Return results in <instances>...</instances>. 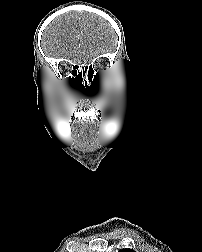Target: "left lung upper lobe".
<instances>
[{
    "mask_svg": "<svg viewBox=\"0 0 202 252\" xmlns=\"http://www.w3.org/2000/svg\"><path fill=\"white\" fill-rule=\"evenodd\" d=\"M119 252H135V251L132 249H122Z\"/></svg>",
    "mask_w": 202,
    "mask_h": 252,
    "instance_id": "left-lung-upper-lobe-1",
    "label": "left lung upper lobe"
}]
</instances>
